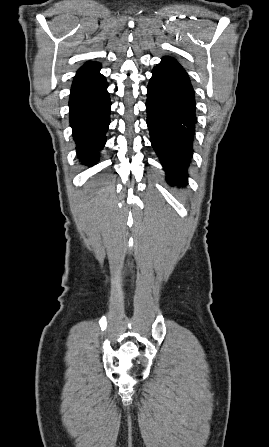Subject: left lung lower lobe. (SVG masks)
Returning a JSON list of instances; mask_svg holds the SVG:
<instances>
[{
  "instance_id": "1",
  "label": "left lung lower lobe",
  "mask_w": 269,
  "mask_h": 447,
  "mask_svg": "<svg viewBox=\"0 0 269 447\" xmlns=\"http://www.w3.org/2000/svg\"><path fill=\"white\" fill-rule=\"evenodd\" d=\"M147 90V125L152 146L166 171L167 182L184 187L196 123L193 87L184 68L176 60L164 57L154 67Z\"/></svg>"
}]
</instances>
